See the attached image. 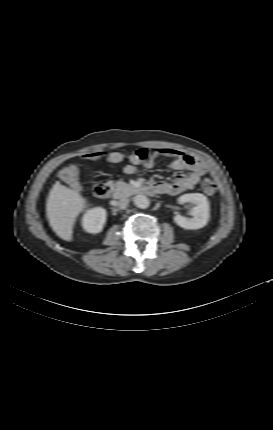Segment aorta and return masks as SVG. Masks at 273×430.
<instances>
[{"label":"aorta","instance_id":"762f6f07","mask_svg":"<svg viewBox=\"0 0 273 430\" xmlns=\"http://www.w3.org/2000/svg\"><path fill=\"white\" fill-rule=\"evenodd\" d=\"M134 204L141 209H146L149 207V199L145 195L138 194L134 197Z\"/></svg>","mask_w":273,"mask_h":430}]
</instances>
